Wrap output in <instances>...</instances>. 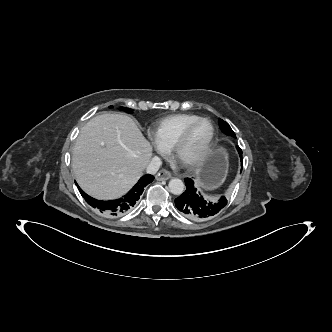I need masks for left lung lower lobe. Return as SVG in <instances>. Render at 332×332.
I'll list each match as a JSON object with an SVG mask.
<instances>
[{"instance_id": "obj_1", "label": "left lung lower lobe", "mask_w": 332, "mask_h": 332, "mask_svg": "<svg viewBox=\"0 0 332 332\" xmlns=\"http://www.w3.org/2000/svg\"><path fill=\"white\" fill-rule=\"evenodd\" d=\"M242 159V150L237 147ZM190 178L185 179L186 191L175 199L177 209L186 217L196 221H206L214 217L227 204L223 196L218 202L210 201L203 197L194 187Z\"/></svg>"}]
</instances>
